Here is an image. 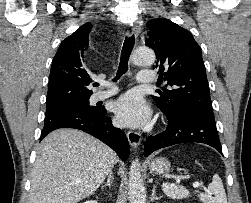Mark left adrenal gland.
Wrapping results in <instances>:
<instances>
[{
    "label": "left adrenal gland",
    "mask_w": 251,
    "mask_h": 203,
    "mask_svg": "<svg viewBox=\"0 0 251 203\" xmlns=\"http://www.w3.org/2000/svg\"><path fill=\"white\" fill-rule=\"evenodd\" d=\"M155 189H156V187L154 186L153 189H152V194H151V198H150L151 202H153V201H155V200H159V199L161 198V196H160V197H157V196L155 195Z\"/></svg>",
    "instance_id": "1"
}]
</instances>
